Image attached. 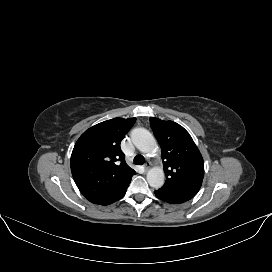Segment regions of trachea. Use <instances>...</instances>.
<instances>
[{
    "label": "trachea",
    "instance_id": "trachea-1",
    "mask_svg": "<svg viewBox=\"0 0 272 272\" xmlns=\"http://www.w3.org/2000/svg\"><path fill=\"white\" fill-rule=\"evenodd\" d=\"M145 162V159L142 155H136L134 157V163L137 164V165H143Z\"/></svg>",
    "mask_w": 272,
    "mask_h": 272
}]
</instances>
